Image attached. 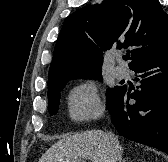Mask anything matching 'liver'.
Wrapping results in <instances>:
<instances>
[{
  "instance_id": "obj_1",
  "label": "liver",
  "mask_w": 168,
  "mask_h": 162,
  "mask_svg": "<svg viewBox=\"0 0 168 162\" xmlns=\"http://www.w3.org/2000/svg\"><path fill=\"white\" fill-rule=\"evenodd\" d=\"M81 159L109 162L107 133L91 130L65 137L54 143L42 155L39 162H74Z\"/></svg>"
}]
</instances>
